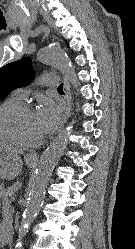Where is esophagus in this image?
<instances>
[{
    "label": "esophagus",
    "instance_id": "esophagus-1",
    "mask_svg": "<svg viewBox=\"0 0 135 249\" xmlns=\"http://www.w3.org/2000/svg\"><path fill=\"white\" fill-rule=\"evenodd\" d=\"M63 90H64V94H65L67 107H66V111H65V114H64L62 122H61V126L59 128V132L63 129L65 123L67 122V119L70 115V111H71V107H72V97H71V93H70V86H69V82H68L66 77H64Z\"/></svg>",
    "mask_w": 135,
    "mask_h": 249
}]
</instances>
